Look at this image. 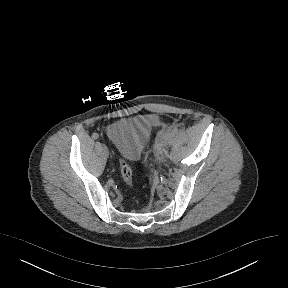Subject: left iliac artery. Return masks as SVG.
<instances>
[{"label": "left iliac artery", "mask_w": 288, "mask_h": 288, "mask_svg": "<svg viewBox=\"0 0 288 288\" xmlns=\"http://www.w3.org/2000/svg\"><path fill=\"white\" fill-rule=\"evenodd\" d=\"M171 135H172V134L169 133V134H167V135L165 136V138H166V139H169V138L171 137Z\"/></svg>", "instance_id": "left-iliac-artery-1"}]
</instances>
